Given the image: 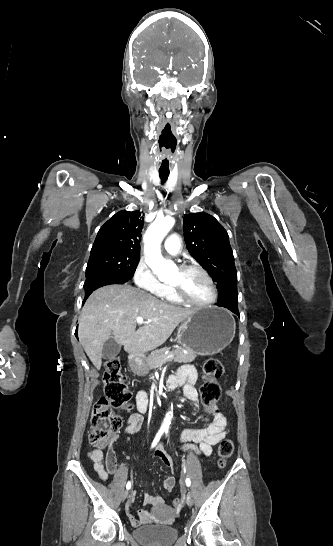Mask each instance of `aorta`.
Masks as SVG:
<instances>
[{"label": "aorta", "instance_id": "762f6f07", "mask_svg": "<svg viewBox=\"0 0 333 546\" xmlns=\"http://www.w3.org/2000/svg\"><path fill=\"white\" fill-rule=\"evenodd\" d=\"M174 223L175 220L172 217L156 218L144 235L146 263L160 280L170 278L177 271L175 263L165 260L160 249L163 238L174 226ZM172 415V412L166 414L164 426L170 424Z\"/></svg>", "mask_w": 333, "mask_h": 546}]
</instances>
